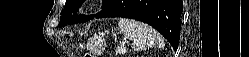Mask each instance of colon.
I'll list each match as a JSON object with an SVG mask.
<instances>
[{
	"label": "colon",
	"mask_w": 249,
	"mask_h": 57,
	"mask_svg": "<svg viewBox=\"0 0 249 57\" xmlns=\"http://www.w3.org/2000/svg\"><path fill=\"white\" fill-rule=\"evenodd\" d=\"M86 57H92L91 54H87Z\"/></svg>",
	"instance_id": "1"
}]
</instances>
